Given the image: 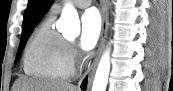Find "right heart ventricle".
<instances>
[{
    "instance_id": "e07e8e85",
    "label": "right heart ventricle",
    "mask_w": 173,
    "mask_h": 91,
    "mask_svg": "<svg viewBox=\"0 0 173 91\" xmlns=\"http://www.w3.org/2000/svg\"><path fill=\"white\" fill-rule=\"evenodd\" d=\"M52 21L48 17L31 36L24 52V71L39 80H67L74 73L70 47Z\"/></svg>"
}]
</instances>
